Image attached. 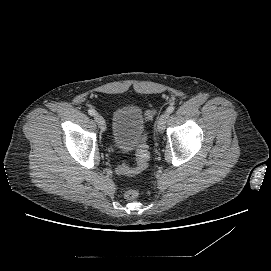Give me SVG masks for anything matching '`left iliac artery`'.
I'll list each match as a JSON object with an SVG mask.
<instances>
[{"label": "left iliac artery", "mask_w": 271, "mask_h": 271, "mask_svg": "<svg viewBox=\"0 0 271 271\" xmlns=\"http://www.w3.org/2000/svg\"><path fill=\"white\" fill-rule=\"evenodd\" d=\"M175 110V107L174 106H169L166 110L167 113H172L173 111Z\"/></svg>", "instance_id": "44dca946"}]
</instances>
